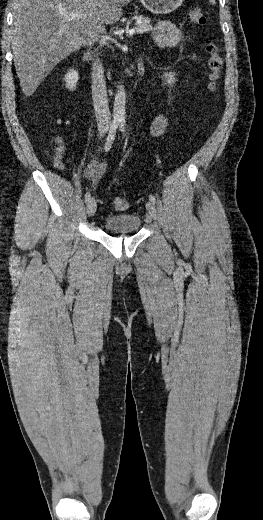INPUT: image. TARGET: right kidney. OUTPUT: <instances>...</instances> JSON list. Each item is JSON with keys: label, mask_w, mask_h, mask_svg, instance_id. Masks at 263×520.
<instances>
[{"label": "right kidney", "mask_w": 263, "mask_h": 520, "mask_svg": "<svg viewBox=\"0 0 263 520\" xmlns=\"http://www.w3.org/2000/svg\"><path fill=\"white\" fill-rule=\"evenodd\" d=\"M78 79H79V74L76 70L68 71V73L65 75L66 87L69 90L75 89Z\"/></svg>", "instance_id": "ca27d5eb"}]
</instances>
